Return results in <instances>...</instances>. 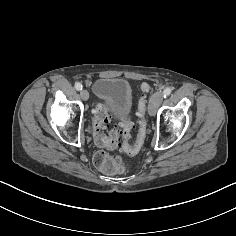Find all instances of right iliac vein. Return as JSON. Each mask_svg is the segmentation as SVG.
<instances>
[{
  "instance_id": "1",
  "label": "right iliac vein",
  "mask_w": 236,
  "mask_h": 236,
  "mask_svg": "<svg viewBox=\"0 0 236 236\" xmlns=\"http://www.w3.org/2000/svg\"><path fill=\"white\" fill-rule=\"evenodd\" d=\"M80 96H81V98H82L84 101H86V100H88V98H89V93H88L87 90L83 89V90H81V92H80Z\"/></svg>"
}]
</instances>
